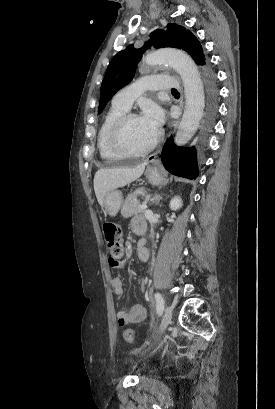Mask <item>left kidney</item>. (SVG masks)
Instances as JSON below:
<instances>
[{"mask_svg": "<svg viewBox=\"0 0 275 409\" xmlns=\"http://www.w3.org/2000/svg\"><path fill=\"white\" fill-rule=\"evenodd\" d=\"M180 207H182V200L180 196H174V198L170 200L171 211H177V209H180Z\"/></svg>", "mask_w": 275, "mask_h": 409, "instance_id": "obj_1", "label": "left kidney"}]
</instances>
